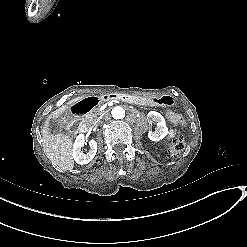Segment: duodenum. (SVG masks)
<instances>
[{"label":"duodenum","mask_w":247,"mask_h":247,"mask_svg":"<svg viewBox=\"0 0 247 247\" xmlns=\"http://www.w3.org/2000/svg\"><path fill=\"white\" fill-rule=\"evenodd\" d=\"M107 100H121L126 102H135L136 97L126 93H109L100 97L90 96L82 99L78 103L72 106L70 114V125L71 127L82 133L86 130V123L84 115L95 109L101 102Z\"/></svg>","instance_id":"duodenum-1"}]
</instances>
